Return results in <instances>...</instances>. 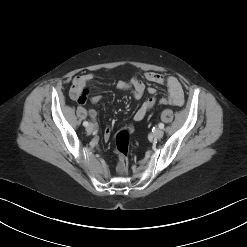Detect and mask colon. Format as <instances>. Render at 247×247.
Wrapping results in <instances>:
<instances>
[{
  "label": "colon",
  "instance_id": "1",
  "mask_svg": "<svg viewBox=\"0 0 247 247\" xmlns=\"http://www.w3.org/2000/svg\"><path fill=\"white\" fill-rule=\"evenodd\" d=\"M82 98H85V92L82 95ZM160 106H168L171 105V101L169 98H161L159 100ZM116 153L118 155V167L120 170H124L128 161V152L130 145V132L129 130H121L116 135Z\"/></svg>",
  "mask_w": 247,
  "mask_h": 247
}]
</instances>
